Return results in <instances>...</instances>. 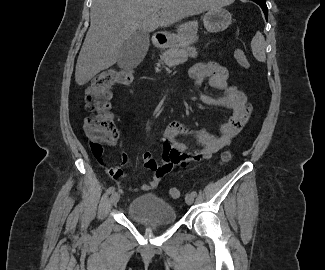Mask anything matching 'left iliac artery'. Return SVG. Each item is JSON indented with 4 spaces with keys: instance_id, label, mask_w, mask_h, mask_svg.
Listing matches in <instances>:
<instances>
[{
    "instance_id": "1",
    "label": "left iliac artery",
    "mask_w": 325,
    "mask_h": 270,
    "mask_svg": "<svg viewBox=\"0 0 325 270\" xmlns=\"http://www.w3.org/2000/svg\"><path fill=\"white\" fill-rule=\"evenodd\" d=\"M191 194L196 197L197 196V192L196 191H192Z\"/></svg>"
}]
</instances>
